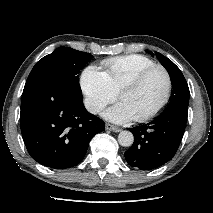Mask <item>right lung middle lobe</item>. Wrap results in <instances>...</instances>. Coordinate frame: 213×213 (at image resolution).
I'll list each match as a JSON object with an SVG mask.
<instances>
[{
	"instance_id": "right-lung-middle-lobe-1",
	"label": "right lung middle lobe",
	"mask_w": 213,
	"mask_h": 213,
	"mask_svg": "<svg viewBox=\"0 0 213 213\" xmlns=\"http://www.w3.org/2000/svg\"><path fill=\"white\" fill-rule=\"evenodd\" d=\"M91 58L90 53L59 47L35 64L26 82L51 79L64 85L77 97H82L78 73Z\"/></svg>"
}]
</instances>
